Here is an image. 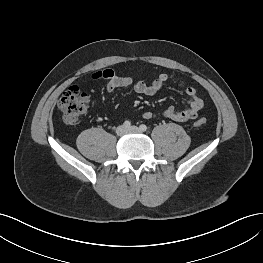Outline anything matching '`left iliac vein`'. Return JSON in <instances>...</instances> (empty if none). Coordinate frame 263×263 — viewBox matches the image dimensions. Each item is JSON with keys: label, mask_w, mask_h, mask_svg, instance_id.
I'll return each instance as SVG.
<instances>
[{"label": "left iliac vein", "mask_w": 263, "mask_h": 263, "mask_svg": "<svg viewBox=\"0 0 263 263\" xmlns=\"http://www.w3.org/2000/svg\"><path fill=\"white\" fill-rule=\"evenodd\" d=\"M128 132H134V133H139L141 132L140 128L136 127V126H132L130 128L127 129Z\"/></svg>", "instance_id": "left-iliac-vein-1"}]
</instances>
